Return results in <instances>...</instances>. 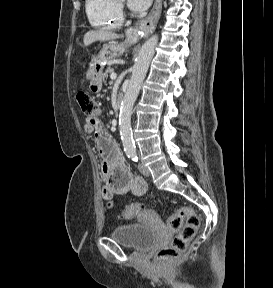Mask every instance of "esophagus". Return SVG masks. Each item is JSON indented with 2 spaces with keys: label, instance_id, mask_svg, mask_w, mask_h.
I'll list each match as a JSON object with an SVG mask.
<instances>
[{
  "label": "esophagus",
  "instance_id": "1",
  "mask_svg": "<svg viewBox=\"0 0 273 288\" xmlns=\"http://www.w3.org/2000/svg\"><path fill=\"white\" fill-rule=\"evenodd\" d=\"M162 0H155L153 8L149 15L142 21L136 23L133 27L126 30V34L134 39H138L142 33L152 32L161 14Z\"/></svg>",
  "mask_w": 273,
  "mask_h": 288
}]
</instances>
